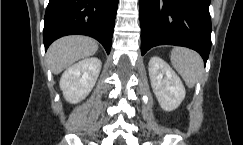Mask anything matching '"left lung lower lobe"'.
Instances as JSON below:
<instances>
[{"label": "left lung lower lobe", "mask_w": 243, "mask_h": 145, "mask_svg": "<svg viewBox=\"0 0 243 145\" xmlns=\"http://www.w3.org/2000/svg\"><path fill=\"white\" fill-rule=\"evenodd\" d=\"M210 0H140L141 54L163 45L196 50L206 63L211 49Z\"/></svg>", "instance_id": "obj_1"}]
</instances>
